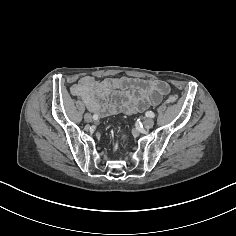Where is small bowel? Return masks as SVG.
Returning a JSON list of instances; mask_svg holds the SVG:
<instances>
[{
	"mask_svg": "<svg viewBox=\"0 0 236 236\" xmlns=\"http://www.w3.org/2000/svg\"><path fill=\"white\" fill-rule=\"evenodd\" d=\"M169 91L166 82L131 77L96 81L91 76H84L71 87V93L82 99L87 108L98 116L144 111L158 104Z\"/></svg>",
	"mask_w": 236,
	"mask_h": 236,
	"instance_id": "c3829d8e",
	"label": "small bowel"
}]
</instances>
